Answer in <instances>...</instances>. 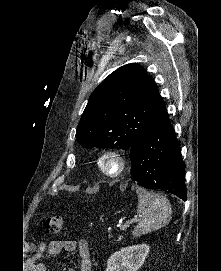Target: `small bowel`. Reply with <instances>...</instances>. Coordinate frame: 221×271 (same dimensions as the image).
<instances>
[{"mask_svg":"<svg viewBox=\"0 0 221 271\" xmlns=\"http://www.w3.org/2000/svg\"><path fill=\"white\" fill-rule=\"evenodd\" d=\"M62 251L73 252L77 251L79 256V271H92V262L87 241L85 240H67L58 239L52 240L48 244H40L33 258L38 260L42 255L53 257L59 255ZM35 271H46L43 264H38ZM66 271H74L73 268H67Z\"/></svg>","mask_w":221,"mask_h":271,"instance_id":"small-bowel-1","label":"small bowel"}]
</instances>
